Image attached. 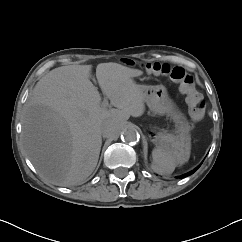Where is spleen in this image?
I'll return each mask as SVG.
<instances>
[{"mask_svg": "<svg viewBox=\"0 0 242 242\" xmlns=\"http://www.w3.org/2000/svg\"><path fill=\"white\" fill-rule=\"evenodd\" d=\"M152 157L153 169L159 174H171L177 164H183L186 162L180 159L179 154L158 148L152 151Z\"/></svg>", "mask_w": 242, "mask_h": 242, "instance_id": "spleen-1", "label": "spleen"}]
</instances>
